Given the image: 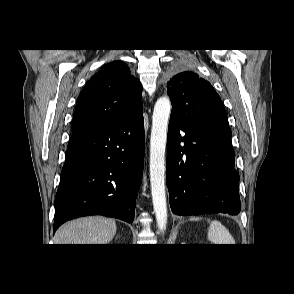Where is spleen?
<instances>
[{
  "label": "spleen",
  "mask_w": 294,
  "mask_h": 294,
  "mask_svg": "<svg viewBox=\"0 0 294 294\" xmlns=\"http://www.w3.org/2000/svg\"><path fill=\"white\" fill-rule=\"evenodd\" d=\"M201 217H191L190 221L201 220ZM209 228L207 238L213 244H235V241L229 231L219 221L208 219Z\"/></svg>",
  "instance_id": "spleen-1"
}]
</instances>
